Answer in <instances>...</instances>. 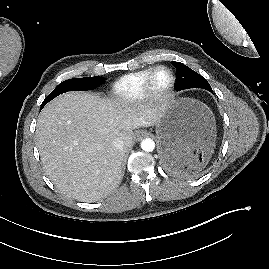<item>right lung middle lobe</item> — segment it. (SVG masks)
<instances>
[{"label": "right lung middle lobe", "instance_id": "obj_1", "mask_svg": "<svg viewBox=\"0 0 269 269\" xmlns=\"http://www.w3.org/2000/svg\"><path fill=\"white\" fill-rule=\"evenodd\" d=\"M105 79L103 77H85L73 78L60 83L42 102L41 109L52 99L58 95L68 91H86L95 89L97 86L103 84Z\"/></svg>", "mask_w": 269, "mask_h": 269}]
</instances>
